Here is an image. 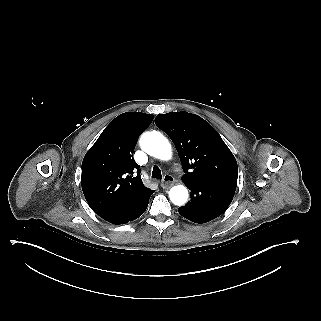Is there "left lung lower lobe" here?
<instances>
[{
    "label": "left lung lower lobe",
    "instance_id": "obj_1",
    "mask_svg": "<svg viewBox=\"0 0 321 321\" xmlns=\"http://www.w3.org/2000/svg\"><path fill=\"white\" fill-rule=\"evenodd\" d=\"M191 191V201L179 208L184 218L201 224L220 216L230 205L237 178H218L185 183Z\"/></svg>",
    "mask_w": 321,
    "mask_h": 321
}]
</instances>
